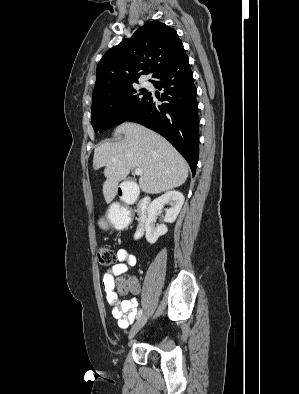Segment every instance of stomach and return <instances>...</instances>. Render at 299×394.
Returning <instances> with one entry per match:
<instances>
[{"label":"stomach","instance_id":"obj_1","mask_svg":"<svg viewBox=\"0 0 299 394\" xmlns=\"http://www.w3.org/2000/svg\"><path fill=\"white\" fill-rule=\"evenodd\" d=\"M109 223H110V220L105 219V218H101V219L99 220V225H100V227H102V228H107V227L109 226Z\"/></svg>","mask_w":299,"mask_h":394}]
</instances>
